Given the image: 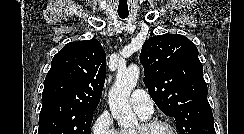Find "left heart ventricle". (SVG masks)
Instances as JSON below:
<instances>
[{"instance_id": "left-heart-ventricle-1", "label": "left heart ventricle", "mask_w": 244, "mask_h": 134, "mask_svg": "<svg viewBox=\"0 0 244 134\" xmlns=\"http://www.w3.org/2000/svg\"><path fill=\"white\" fill-rule=\"evenodd\" d=\"M151 134H171V132L163 126L157 127Z\"/></svg>"}]
</instances>
